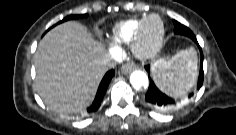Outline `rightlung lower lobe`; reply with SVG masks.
<instances>
[{"label":"right lung lower lobe","mask_w":236,"mask_h":135,"mask_svg":"<svg viewBox=\"0 0 236 135\" xmlns=\"http://www.w3.org/2000/svg\"><path fill=\"white\" fill-rule=\"evenodd\" d=\"M115 75V72L114 70H110L108 71L104 78L102 79L100 85H99V88H98V91H97V94H96V97L94 99V102L92 103V105L87 109V111L90 113V112H94L96 111L100 104H101V101L105 95V92L107 90V87L112 79V77Z\"/></svg>","instance_id":"obj_1"}]
</instances>
